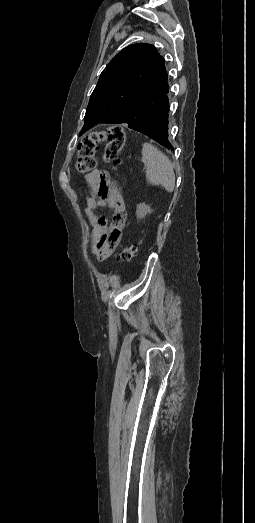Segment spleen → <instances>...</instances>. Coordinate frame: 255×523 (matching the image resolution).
Instances as JSON below:
<instances>
[{"mask_svg":"<svg viewBox=\"0 0 255 523\" xmlns=\"http://www.w3.org/2000/svg\"><path fill=\"white\" fill-rule=\"evenodd\" d=\"M141 162L146 166V178L150 184L163 186L167 192L175 188L173 166L165 154L159 152L152 144H143Z\"/></svg>","mask_w":255,"mask_h":523,"instance_id":"spleen-1","label":"spleen"}]
</instances>
